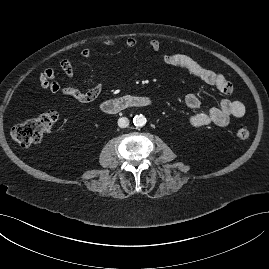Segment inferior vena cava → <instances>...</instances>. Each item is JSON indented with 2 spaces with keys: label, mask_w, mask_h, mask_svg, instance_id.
I'll return each mask as SVG.
<instances>
[{
  "label": "inferior vena cava",
  "mask_w": 269,
  "mask_h": 269,
  "mask_svg": "<svg viewBox=\"0 0 269 269\" xmlns=\"http://www.w3.org/2000/svg\"><path fill=\"white\" fill-rule=\"evenodd\" d=\"M129 125V120L126 117H121L118 119V126L120 128H126Z\"/></svg>",
  "instance_id": "obj_1"
}]
</instances>
